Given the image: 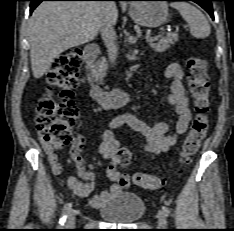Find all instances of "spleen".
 Wrapping results in <instances>:
<instances>
[{
	"instance_id": "3e777b00",
	"label": "spleen",
	"mask_w": 234,
	"mask_h": 231,
	"mask_svg": "<svg viewBox=\"0 0 234 231\" xmlns=\"http://www.w3.org/2000/svg\"><path fill=\"white\" fill-rule=\"evenodd\" d=\"M170 5L177 9L188 23L192 36L203 39L210 35V25L199 9L188 2H172Z\"/></svg>"
}]
</instances>
